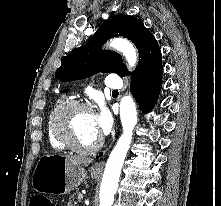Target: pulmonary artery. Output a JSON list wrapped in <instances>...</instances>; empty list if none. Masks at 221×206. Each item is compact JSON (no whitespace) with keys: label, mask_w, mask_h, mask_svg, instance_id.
<instances>
[{"label":"pulmonary artery","mask_w":221,"mask_h":206,"mask_svg":"<svg viewBox=\"0 0 221 206\" xmlns=\"http://www.w3.org/2000/svg\"><path fill=\"white\" fill-rule=\"evenodd\" d=\"M104 84L106 87L111 88L113 90H120L123 87L122 79L116 74L106 76Z\"/></svg>","instance_id":"pulmonary-artery-1"}]
</instances>
